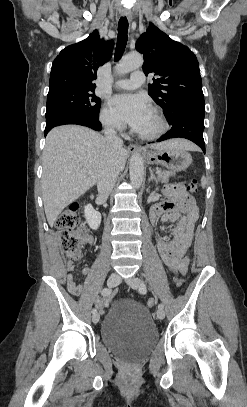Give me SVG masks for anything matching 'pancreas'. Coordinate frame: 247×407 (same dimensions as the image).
<instances>
[{"instance_id":"pancreas-1","label":"pancreas","mask_w":247,"mask_h":407,"mask_svg":"<svg viewBox=\"0 0 247 407\" xmlns=\"http://www.w3.org/2000/svg\"><path fill=\"white\" fill-rule=\"evenodd\" d=\"M174 175L175 173L172 171L163 170L157 175V181L167 183L169 181V178Z\"/></svg>"}]
</instances>
